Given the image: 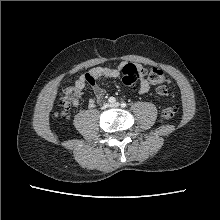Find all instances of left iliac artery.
<instances>
[{"mask_svg": "<svg viewBox=\"0 0 220 220\" xmlns=\"http://www.w3.org/2000/svg\"><path fill=\"white\" fill-rule=\"evenodd\" d=\"M126 106H127V105H126L125 102H122V103H121V107H122V108H125Z\"/></svg>", "mask_w": 220, "mask_h": 220, "instance_id": "44dca946", "label": "left iliac artery"}]
</instances>
